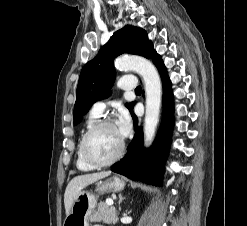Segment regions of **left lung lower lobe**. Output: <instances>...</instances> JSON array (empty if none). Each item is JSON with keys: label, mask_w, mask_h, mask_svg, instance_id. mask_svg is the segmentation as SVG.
<instances>
[{"label": "left lung lower lobe", "mask_w": 247, "mask_h": 226, "mask_svg": "<svg viewBox=\"0 0 247 226\" xmlns=\"http://www.w3.org/2000/svg\"><path fill=\"white\" fill-rule=\"evenodd\" d=\"M152 60L157 66L163 81L164 116L161 129L155 143L147 150L143 147L142 129H139L129 145L127 154L111 170L135 181L139 180L147 184L159 185L163 174L164 161L171 142L173 126V101L171 98L173 93L161 56L156 53ZM132 117L135 130H137L138 120L134 114H132Z\"/></svg>", "instance_id": "left-lung-lower-lobe-1"}]
</instances>
